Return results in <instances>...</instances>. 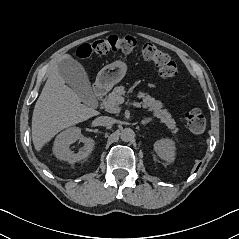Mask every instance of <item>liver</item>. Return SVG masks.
Returning a JSON list of instances; mask_svg holds the SVG:
<instances>
[{"label": "liver", "mask_w": 239, "mask_h": 239, "mask_svg": "<svg viewBox=\"0 0 239 239\" xmlns=\"http://www.w3.org/2000/svg\"><path fill=\"white\" fill-rule=\"evenodd\" d=\"M71 58L65 54L59 60ZM80 96L65 84L55 65L35 104L32 116V141L37 151L61 130L98 115L81 104Z\"/></svg>", "instance_id": "obj_1"}]
</instances>
